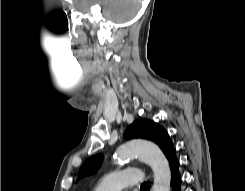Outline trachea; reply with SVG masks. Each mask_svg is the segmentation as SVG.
Returning <instances> with one entry per match:
<instances>
[{"label":"trachea","instance_id":"3493384b","mask_svg":"<svg viewBox=\"0 0 245 191\" xmlns=\"http://www.w3.org/2000/svg\"><path fill=\"white\" fill-rule=\"evenodd\" d=\"M150 188V183H148V182H144L141 186H140V189L142 190V191H146V190H148Z\"/></svg>","mask_w":245,"mask_h":191}]
</instances>
